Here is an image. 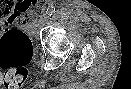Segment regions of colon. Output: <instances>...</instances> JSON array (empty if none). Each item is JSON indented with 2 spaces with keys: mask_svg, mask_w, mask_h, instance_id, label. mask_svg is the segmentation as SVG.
<instances>
[{
  "mask_svg": "<svg viewBox=\"0 0 131 89\" xmlns=\"http://www.w3.org/2000/svg\"><path fill=\"white\" fill-rule=\"evenodd\" d=\"M8 8L3 10V6ZM29 6L17 10L12 1L0 0V20L16 17L23 25H29L36 19V14L26 13ZM33 55L31 39L22 30L13 29L0 37V82L7 88L20 87L27 77L26 66Z\"/></svg>",
  "mask_w": 131,
  "mask_h": 89,
  "instance_id": "obj_1",
  "label": "colon"
}]
</instances>
